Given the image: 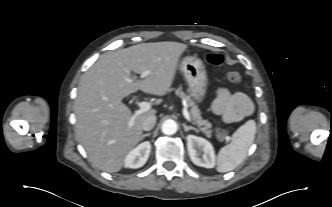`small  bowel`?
<instances>
[{
	"label": "small bowel",
	"instance_id": "small-bowel-1",
	"mask_svg": "<svg viewBox=\"0 0 332 207\" xmlns=\"http://www.w3.org/2000/svg\"><path fill=\"white\" fill-rule=\"evenodd\" d=\"M212 108L226 123L237 122L253 112V104L247 95L226 88L217 91Z\"/></svg>",
	"mask_w": 332,
	"mask_h": 207
}]
</instances>
